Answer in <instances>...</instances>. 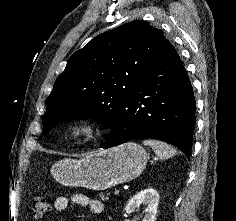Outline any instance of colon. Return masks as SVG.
<instances>
[{
    "label": "colon",
    "mask_w": 236,
    "mask_h": 221,
    "mask_svg": "<svg viewBox=\"0 0 236 221\" xmlns=\"http://www.w3.org/2000/svg\"><path fill=\"white\" fill-rule=\"evenodd\" d=\"M31 209L35 218H41L45 215L48 209V204L43 196L37 195L31 199Z\"/></svg>",
    "instance_id": "obj_1"
}]
</instances>
